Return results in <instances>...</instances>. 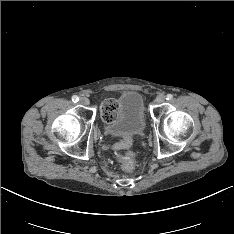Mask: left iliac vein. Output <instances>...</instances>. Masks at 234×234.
<instances>
[{
    "instance_id": "left-iliac-vein-1",
    "label": "left iliac vein",
    "mask_w": 234,
    "mask_h": 234,
    "mask_svg": "<svg viewBox=\"0 0 234 234\" xmlns=\"http://www.w3.org/2000/svg\"><path fill=\"white\" fill-rule=\"evenodd\" d=\"M165 99H166L165 95L159 94V95L156 97V102L160 104V103H163V102L165 101Z\"/></svg>"
}]
</instances>
